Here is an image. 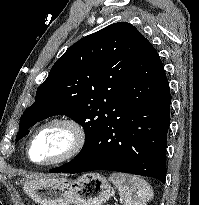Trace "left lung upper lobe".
Returning <instances> with one entry per match:
<instances>
[{"label": "left lung upper lobe", "instance_id": "1", "mask_svg": "<svg viewBox=\"0 0 199 205\" xmlns=\"http://www.w3.org/2000/svg\"><path fill=\"white\" fill-rule=\"evenodd\" d=\"M145 37L131 24H111L74 43L38 87L35 102L20 119L16 140L37 121L66 115L83 126V149L61 171L77 162L102 129L106 113L121 92Z\"/></svg>", "mask_w": 199, "mask_h": 205}]
</instances>
